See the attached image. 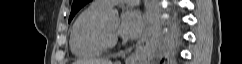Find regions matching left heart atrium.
Returning a JSON list of instances; mask_svg holds the SVG:
<instances>
[{
  "label": "left heart atrium",
  "instance_id": "obj_1",
  "mask_svg": "<svg viewBox=\"0 0 242 64\" xmlns=\"http://www.w3.org/2000/svg\"><path fill=\"white\" fill-rule=\"evenodd\" d=\"M143 17L137 10L128 9L123 12L117 32L124 38L133 39L138 37L143 30Z\"/></svg>",
  "mask_w": 242,
  "mask_h": 64
}]
</instances>
